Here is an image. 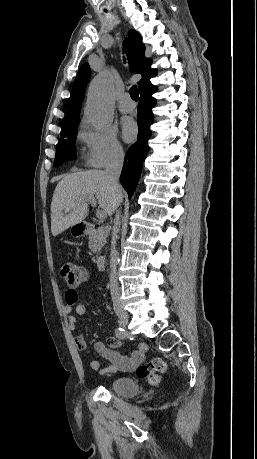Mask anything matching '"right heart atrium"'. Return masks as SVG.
Listing matches in <instances>:
<instances>
[{
  "instance_id": "1",
  "label": "right heart atrium",
  "mask_w": 257,
  "mask_h": 459,
  "mask_svg": "<svg viewBox=\"0 0 257 459\" xmlns=\"http://www.w3.org/2000/svg\"><path fill=\"white\" fill-rule=\"evenodd\" d=\"M80 138L86 146L87 163L92 167L101 168L123 157L122 144L112 128L94 129L84 122Z\"/></svg>"
}]
</instances>
